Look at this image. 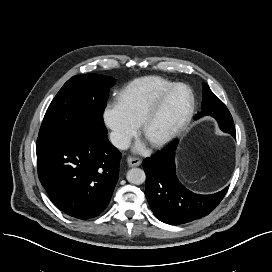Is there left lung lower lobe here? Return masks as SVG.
Wrapping results in <instances>:
<instances>
[{
  "mask_svg": "<svg viewBox=\"0 0 272 272\" xmlns=\"http://www.w3.org/2000/svg\"><path fill=\"white\" fill-rule=\"evenodd\" d=\"M217 121L221 130L236 138L235 129L229 127L233 121L231 114L221 115ZM177 144L178 140H175L143 161L145 195L149 206L157 219L171 225L188 223L208 215L228 190L226 187L215 194L201 195L186 189L176 176L174 156Z\"/></svg>",
  "mask_w": 272,
  "mask_h": 272,
  "instance_id": "0a47b994",
  "label": "left lung lower lobe"
}]
</instances>
